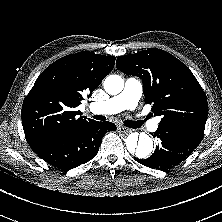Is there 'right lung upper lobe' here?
Here are the masks:
<instances>
[{"label":"right lung upper lobe","instance_id":"1","mask_svg":"<svg viewBox=\"0 0 222 222\" xmlns=\"http://www.w3.org/2000/svg\"><path fill=\"white\" fill-rule=\"evenodd\" d=\"M115 57L89 51L65 56L46 68L26 96L22 125L27 142L38 138L68 133L86 124L80 111L84 95L91 96L115 64Z\"/></svg>","mask_w":222,"mask_h":222}]
</instances>
